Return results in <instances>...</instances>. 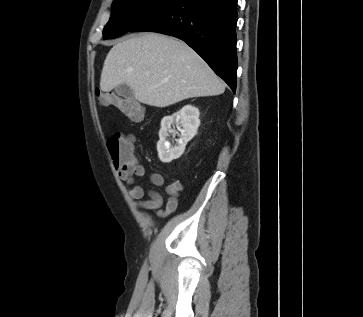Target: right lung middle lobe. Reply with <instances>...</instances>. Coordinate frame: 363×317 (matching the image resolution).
I'll use <instances>...</instances> for the list:
<instances>
[{"label": "right lung middle lobe", "instance_id": "1", "mask_svg": "<svg viewBox=\"0 0 363 317\" xmlns=\"http://www.w3.org/2000/svg\"><path fill=\"white\" fill-rule=\"evenodd\" d=\"M177 0H114L103 38L118 37L175 3Z\"/></svg>", "mask_w": 363, "mask_h": 317}]
</instances>
